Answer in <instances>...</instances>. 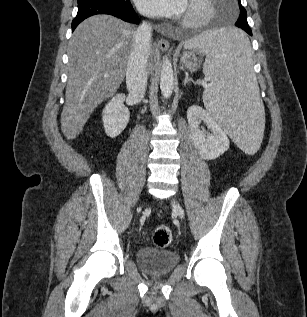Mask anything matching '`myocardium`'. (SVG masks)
Listing matches in <instances>:
<instances>
[{"label":"myocardium","mask_w":307,"mask_h":317,"mask_svg":"<svg viewBox=\"0 0 307 317\" xmlns=\"http://www.w3.org/2000/svg\"><path fill=\"white\" fill-rule=\"evenodd\" d=\"M213 14L212 0H191L182 24L187 27H199L208 23Z\"/></svg>","instance_id":"f54148a6"}]
</instances>
